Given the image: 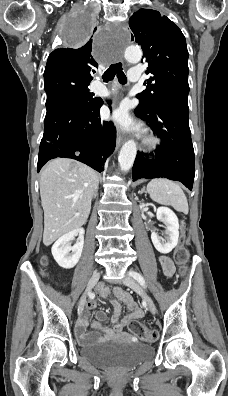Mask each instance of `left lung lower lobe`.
<instances>
[{"instance_id": "0a47b994", "label": "left lung lower lobe", "mask_w": 228, "mask_h": 396, "mask_svg": "<svg viewBox=\"0 0 228 396\" xmlns=\"http://www.w3.org/2000/svg\"><path fill=\"white\" fill-rule=\"evenodd\" d=\"M135 114L150 124L153 132L162 139V144L155 151L156 159H147L137 153L132 170L133 181L162 177L180 181L192 190L195 167L188 123V95L162 98L151 110L138 106Z\"/></svg>"}]
</instances>
